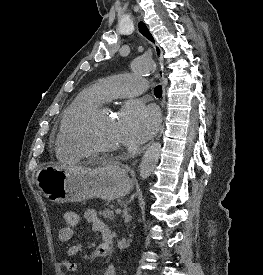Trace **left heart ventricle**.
Here are the masks:
<instances>
[{"label":"left heart ventricle","mask_w":263,"mask_h":275,"mask_svg":"<svg viewBox=\"0 0 263 275\" xmlns=\"http://www.w3.org/2000/svg\"><path fill=\"white\" fill-rule=\"evenodd\" d=\"M80 138L86 143L99 147L123 146L124 138L119 128L118 118L113 113H107L84 128Z\"/></svg>","instance_id":"1"}]
</instances>
